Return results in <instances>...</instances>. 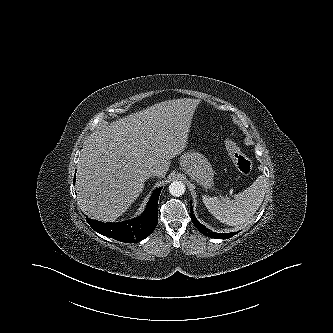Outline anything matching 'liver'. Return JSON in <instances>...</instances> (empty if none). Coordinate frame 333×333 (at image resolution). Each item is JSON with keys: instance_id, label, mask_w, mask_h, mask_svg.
<instances>
[{"instance_id": "liver-1", "label": "liver", "mask_w": 333, "mask_h": 333, "mask_svg": "<svg viewBox=\"0 0 333 333\" xmlns=\"http://www.w3.org/2000/svg\"><path fill=\"white\" fill-rule=\"evenodd\" d=\"M198 100L157 103L104 125L82 150L76 178L77 201L90 218L114 222L139 197L148 172L164 177L171 159L187 145Z\"/></svg>"}]
</instances>
